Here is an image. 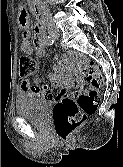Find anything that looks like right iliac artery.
I'll list each match as a JSON object with an SVG mask.
<instances>
[{"label":"right iliac artery","mask_w":123,"mask_h":167,"mask_svg":"<svg viewBox=\"0 0 123 167\" xmlns=\"http://www.w3.org/2000/svg\"><path fill=\"white\" fill-rule=\"evenodd\" d=\"M44 43L46 44V45H53V43H54V39L51 37V36H47V35H45L44 36Z\"/></svg>","instance_id":"right-iliac-artery-1"}]
</instances>
